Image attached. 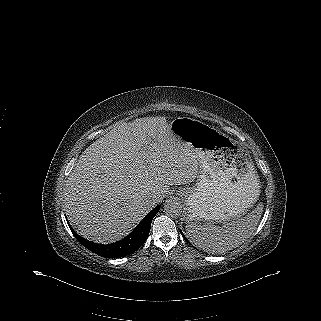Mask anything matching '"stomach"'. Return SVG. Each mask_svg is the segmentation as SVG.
Instances as JSON below:
<instances>
[{"label":"stomach","mask_w":321,"mask_h":321,"mask_svg":"<svg viewBox=\"0 0 321 321\" xmlns=\"http://www.w3.org/2000/svg\"><path fill=\"white\" fill-rule=\"evenodd\" d=\"M169 126L173 136L194 153L200 168L196 184L177 192L187 206L188 222H226L244 215L260 192L249 154L199 120L179 117Z\"/></svg>","instance_id":"stomach-1"}]
</instances>
